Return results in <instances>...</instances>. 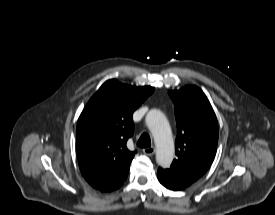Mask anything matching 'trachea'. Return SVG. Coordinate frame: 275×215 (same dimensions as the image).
<instances>
[{"mask_svg":"<svg viewBox=\"0 0 275 215\" xmlns=\"http://www.w3.org/2000/svg\"><path fill=\"white\" fill-rule=\"evenodd\" d=\"M137 146L141 147V148H148L151 146V139L150 136L147 133H143L138 142H137Z\"/></svg>","mask_w":275,"mask_h":215,"instance_id":"trachea-1","label":"trachea"}]
</instances>
